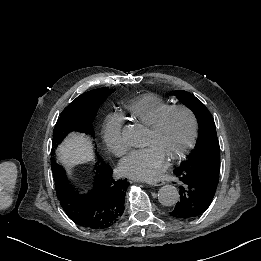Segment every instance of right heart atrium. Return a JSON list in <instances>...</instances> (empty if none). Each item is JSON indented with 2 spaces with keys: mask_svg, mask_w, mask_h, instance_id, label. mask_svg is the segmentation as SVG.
<instances>
[{
  "mask_svg": "<svg viewBox=\"0 0 261 261\" xmlns=\"http://www.w3.org/2000/svg\"><path fill=\"white\" fill-rule=\"evenodd\" d=\"M102 138L105 149L115 156L124 154L128 143L120 133L118 124L113 120H107L102 127Z\"/></svg>",
  "mask_w": 261,
  "mask_h": 261,
  "instance_id": "1",
  "label": "right heart atrium"
}]
</instances>
